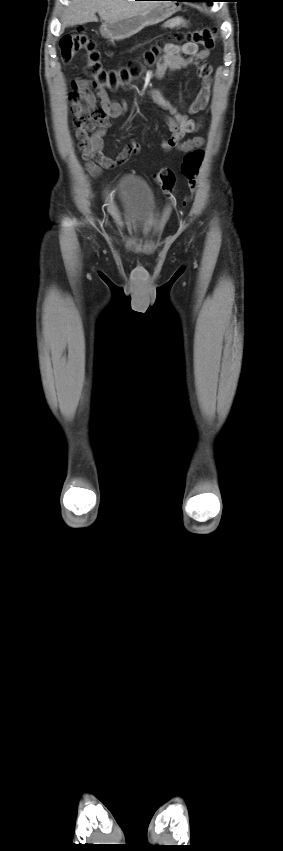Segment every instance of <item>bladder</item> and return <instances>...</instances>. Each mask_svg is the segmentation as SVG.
I'll list each match as a JSON object with an SVG mask.
<instances>
[{
  "label": "bladder",
  "mask_w": 283,
  "mask_h": 851,
  "mask_svg": "<svg viewBox=\"0 0 283 851\" xmlns=\"http://www.w3.org/2000/svg\"><path fill=\"white\" fill-rule=\"evenodd\" d=\"M116 197L128 229L133 234L145 235L156 204L150 186L137 176L125 175L116 185Z\"/></svg>",
  "instance_id": "obj_1"
}]
</instances>
